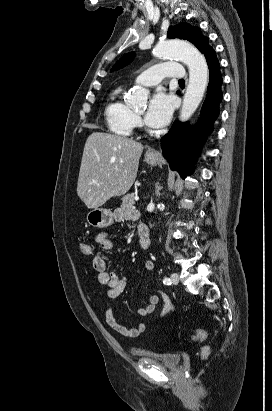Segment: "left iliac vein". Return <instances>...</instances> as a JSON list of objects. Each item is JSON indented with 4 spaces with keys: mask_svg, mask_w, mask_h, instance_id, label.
<instances>
[{
    "mask_svg": "<svg viewBox=\"0 0 272 411\" xmlns=\"http://www.w3.org/2000/svg\"><path fill=\"white\" fill-rule=\"evenodd\" d=\"M171 282L172 284L176 285L179 282V275L177 273L171 274Z\"/></svg>",
    "mask_w": 272,
    "mask_h": 411,
    "instance_id": "4c4485c4",
    "label": "left iliac vein"
}]
</instances>
